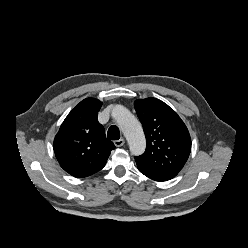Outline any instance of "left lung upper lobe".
<instances>
[{
    "instance_id": "1",
    "label": "left lung upper lobe",
    "mask_w": 248,
    "mask_h": 248,
    "mask_svg": "<svg viewBox=\"0 0 248 248\" xmlns=\"http://www.w3.org/2000/svg\"><path fill=\"white\" fill-rule=\"evenodd\" d=\"M135 109L147 139L146 151L135 160L150 169L176 176L191 151V138L184 122L156 98L136 100Z\"/></svg>"
}]
</instances>
